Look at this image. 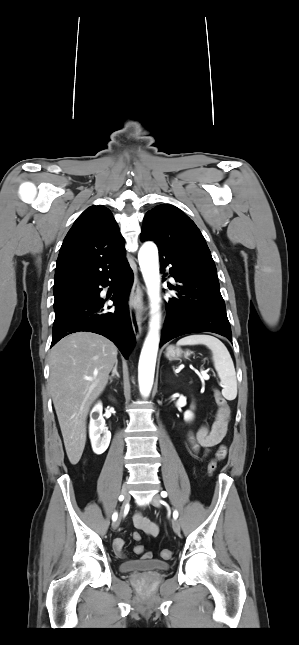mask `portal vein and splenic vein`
<instances>
[{
  "mask_svg": "<svg viewBox=\"0 0 299 645\" xmlns=\"http://www.w3.org/2000/svg\"><path fill=\"white\" fill-rule=\"evenodd\" d=\"M201 373H202V375H203V376H205V377H207V378H208V376H207V374H206V372H205V371H201Z\"/></svg>",
  "mask_w": 299,
  "mask_h": 645,
  "instance_id": "obj_1",
  "label": "portal vein and splenic vein"
}]
</instances>
